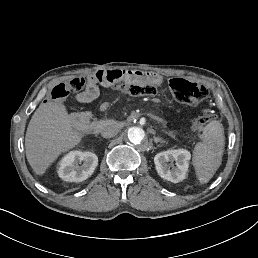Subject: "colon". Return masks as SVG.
<instances>
[{
	"mask_svg": "<svg viewBox=\"0 0 258 258\" xmlns=\"http://www.w3.org/2000/svg\"><path fill=\"white\" fill-rule=\"evenodd\" d=\"M88 78L75 77L65 83H60L52 90V99H63L69 95L71 91H82L86 88ZM169 87L176 98L182 104L195 105L201 103L207 97L206 88L198 83L188 81L183 78H173L169 81ZM118 90L122 93L132 96H151L155 93V88L152 85H147L142 81L130 79L119 86ZM215 119L212 113L203 115L197 118L193 124L194 131L201 130L207 123Z\"/></svg>",
	"mask_w": 258,
	"mask_h": 258,
	"instance_id": "5ec220e1",
	"label": "colon"
}]
</instances>
